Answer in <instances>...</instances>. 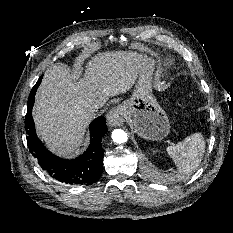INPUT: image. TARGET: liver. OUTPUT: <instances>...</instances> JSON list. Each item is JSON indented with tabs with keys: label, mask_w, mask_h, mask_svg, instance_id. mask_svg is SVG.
<instances>
[{
	"label": "liver",
	"mask_w": 233,
	"mask_h": 233,
	"mask_svg": "<svg viewBox=\"0 0 233 233\" xmlns=\"http://www.w3.org/2000/svg\"><path fill=\"white\" fill-rule=\"evenodd\" d=\"M145 66L132 51L99 53L87 63L83 78L75 80L64 65L46 70L33 109L37 133L59 156L76 152L93 117V106L126 93Z\"/></svg>",
	"instance_id": "6515ba94"
}]
</instances>
